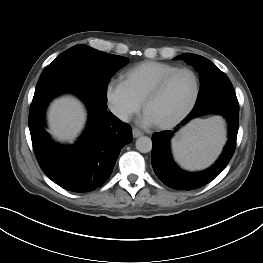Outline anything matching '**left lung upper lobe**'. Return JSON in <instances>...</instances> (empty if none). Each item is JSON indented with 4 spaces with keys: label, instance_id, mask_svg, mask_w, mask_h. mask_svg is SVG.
<instances>
[{
    "label": "left lung upper lobe",
    "instance_id": "1",
    "mask_svg": "<svg viewBox=\"0 0 263 263\" xmlns=\"http://www.w3.org/2000/svg\"><path fill=\"white\" fill-rule=\"evenodd\" d=\"M176 58L184 59L193 64L200 73L201 87L197 103L216 94L235 93L227 75L207 58L192 53H184Z\"/></svg>",
    "mask_w": 263,
    "mask_h": 263
}]
</instances>
